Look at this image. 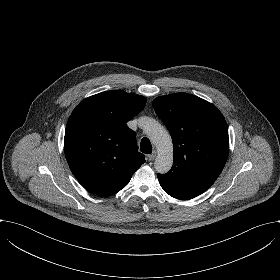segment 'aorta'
<instances>
[{
	"label": "aorta",
	"instance_id": "obj_1",
	"mask_svg": "<svg viewBox=\"0 0 280 280\" xmlns=\"http://www.w3.org/2000/svg\"><path fill=\"white\" fill-rule=\"evenodd\" d=\"M144 120L143 131L150 141L156 146L158 155L154 162L155 170L160 174L170 171L173 165V146L169 132L157 120L142 117Z\"/></svg>",
	"mask_w": 280,
	"mask_h": 280
}]
</instances>
